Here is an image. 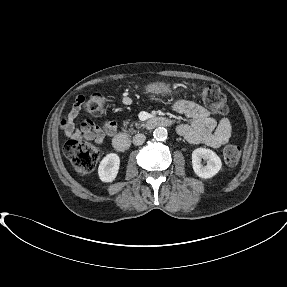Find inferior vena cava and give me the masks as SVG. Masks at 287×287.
Returning a JSON list of instances; mask_svg holds the SVG:
<instances>
[{
  "label": "inferior vena cava",
  "mask_w": 287,
  "mask_h": 287,
  "mask_svg": "<svg viewBox=\"0 0 287 287\" xmlns=\"http://www.w3.org/2000/svg\"><path fill=\"white\" fill-rule=\"evenodd\" d=\"M146 140V136L144 134L138 133L133 137L134 145H142Z\"/></svg>",
  "instance_id": "602c4592"
}]
</instances>
